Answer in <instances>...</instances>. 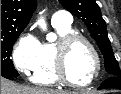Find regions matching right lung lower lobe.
<instances>
[{
    "mask_svg": "<svg viewBox=\"0 0 121 94\" xmlns=\"http://www.w3.org/2000/svg\"><path fill=\"white\" fill-rule=\"evenodd\" d=\"M5 78L10 79V80H14L15 79L13 77H5Z\"/></svg>",
    "mask_w": 121,
    "mask_h": 94,
    "instance_id": "right-lung-lower-lobe-1",
    "label": "right lung lower lobe"
}]
</instances>
